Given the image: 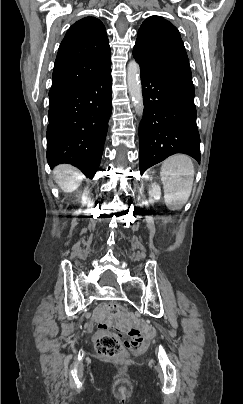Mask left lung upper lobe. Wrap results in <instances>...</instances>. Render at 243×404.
Masks as SVG:
<instances>
[{"label":"left lung upper lobe","mask_w":243,"mask_h":404,"mask_svg":"<svg viewBox=\"0 0 243 404\" xmlns=\"http://www.w3.org/2000/svg\"><path fill=\"white\" fill-rule=\"evenodd\" d=\"M133 56L143 68L165 75L192 79L187 53L177 28L160 16L141 25Z\"/></svg>","instance_id":"1"}]
</instances>
